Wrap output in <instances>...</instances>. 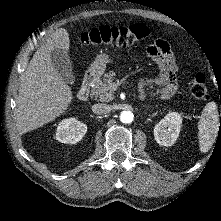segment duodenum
<instances>
[{
	"instance_id": "1",
	"label": "duodenum",
	"mask_w": 221,
	"mask_h": 221,
	"mask_svg": "<svg viewBox=\"0 0 221 221\" xmlns=\"http://www.w3.org/2000/svg\"><path fill=\"white\" fill-rule=\"evenodd\" d=\"M96 79L97 74L93 71H90L85 75L81 88L77 94L80 101H86L89 98L91 87L95 83Z\"/></svg>"
}]
</instances>
